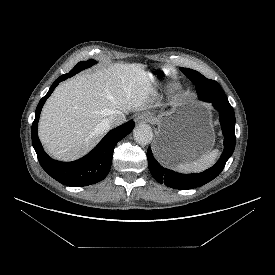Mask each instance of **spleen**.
I'll return each mask as SVG.
<instances>
[{"mask_svg": "<svg viewBox=\"0 0 275 275\" xmlns=\"http://www.w3.org/2000/svg\"><path fill=\"white\" fill-rule=\"evenodd\" d=\"M218 156V150L215 149L205 155H203L201 158L191 161V162H185L180 163L176 166V168L181 172H201L210 166H212Z\"/></svg>", "mask_w": 275, "mask_h": 275, "instance_id": "obj_1", "label": "spleen"}]
</instances>
